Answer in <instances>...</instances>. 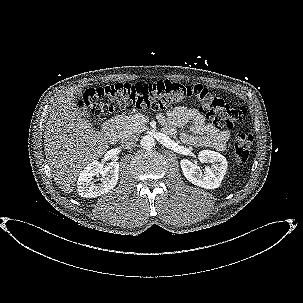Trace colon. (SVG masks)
Returning <instances> with one entry per match:
<instances>
[{
    "instance_id": "1",
    "label": "colon",
    "mask_w": 303,
    "mask_h": 303,
    "mask_svg": "<svg viewBox=\"0 0 303 303\" xmlns=\"http://www.w3.org/2000/svg\"><path fill=\"white\" fill-rule=\"evenodd\" d=\"M187 99H196L207 116L216 124L233 126L245 115L243 108L229 105L202 85H183L169 80L134 84L116 83L90 88L79 99V105L91 116L98 117L132 109L162 110ZM251 146V134L245 131L236 132L233 154L238 164L247 161Z\"/></svg>"
}]
</instances>
